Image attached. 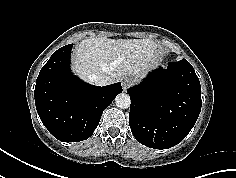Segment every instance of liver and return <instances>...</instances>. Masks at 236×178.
<instances>
[{
	"label": "liver",
	"mask_w": 236,
	"mask_h": 178,
	"mask_svg": "<svg viewBox=\"0 0 236 178\" xmlns=\"http://www.w3.org/2000/svg\"><path fill=\"white\" fill-rule=\"evenodd\" d=\"M160 54L158 45L150 39L90 38L76 46L72 69L86 80L91 75H106L111 83L125 75L140 80L159 63Z\"/></svg>",
	"instance_id": "obj_1"
}]
</instances>
